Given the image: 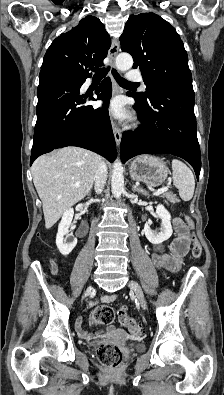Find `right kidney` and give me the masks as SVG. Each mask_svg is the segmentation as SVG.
Listing matches in <instances>:
<instances>
[{
    "mask_svg": "<svg viewBox=\"0 0 224 395\" xmlns=\"http://www.w3.org/2000/svg\"><path fill=\"white\" fill-rule=\"evenodd\" d=\"M73 216H74V210L72 208L67 209L63 213L61 223L58 226L56 245L59 252L64 256H67L69 253H71V251L77 245V238H75L74 236H70L68 234ZM65 236L68 239V242L64 238Z\"/></svg>",
    "mask_w": 224,
    "mask_h": 395,
    "instance_id": "right-kidney-1",
    "label": "right kidney"
}]
</instances>
